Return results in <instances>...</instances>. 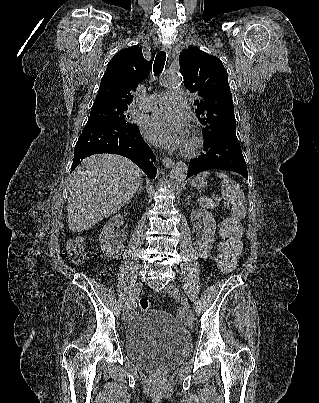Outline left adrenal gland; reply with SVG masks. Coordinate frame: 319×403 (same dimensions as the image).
<instances>
[{
  "mask_svg": "<svg viewBox=\"0 0 319 403\" xmlns=\"http://www.w3.org/2000/svg\"><path fill=\"white\" fill-rule=\"evenodd\" d=\"M186 200L188 201V203L190 202V197L188 196L187 198H186Z\"/></svg>",
  "mask_w": 319,
  "mask_h": 403,
  "instance_id": "1",
  "label": "left adrenal gland"
}]
</instances>
